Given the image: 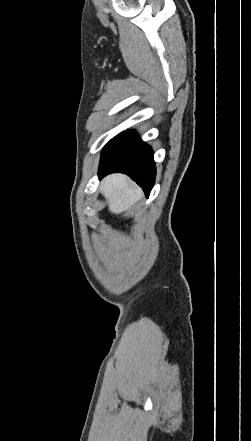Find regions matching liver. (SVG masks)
I'll use <instances>...</instances> for the list:
<instances>
[{
    "label": "liver",
    "instance_id": "6515ba94",
    "mask_svg": "<svg viewBox=\"0 0 251 441\" xmlns=\"http://www.w3.org/2000/svg\"><path fill=\"white\" fill-rule=\"evenodd\" d=\"M100 191L108 200L109 210L114 214L130 209L142 196V190L123 174L106 177L101 182Z\"/></svg>",
    "mask_w": 251,
    "mask_h": 441
}]
</instances>
